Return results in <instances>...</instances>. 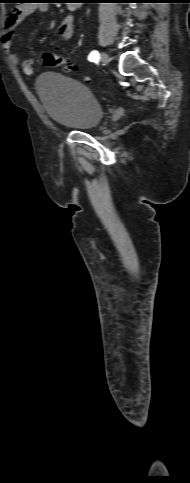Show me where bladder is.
I'll use <instances>...</instances> for the list:
<instances>
[{
    "mask_svg": "<svg viewBox=\"0 0 190 483\" xmlns=\"http://www.w3.org/2000/svg\"><path fill=\"white\" fill-rule=\"evenodd\" d=\"M35 89L49 118L63 128L88 131L96 128L103 118L97 98L74 79L46 72L38 77Z\"/></svg>",
    "mask_w": 190,
    "mask_h": 483,
    "instance_id": "bladder-1",
    "label": "bladder"
}]
</instances>
